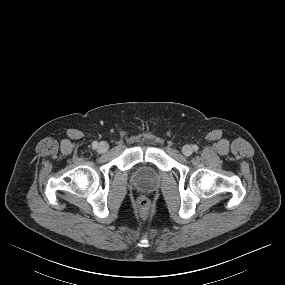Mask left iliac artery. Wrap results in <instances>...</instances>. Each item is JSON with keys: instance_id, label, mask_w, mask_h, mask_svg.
Segmentation results:
<instances>
[{"instance_id": "44dca946", "label": "left iliac artery", "mask_w": 285, "mask_h": 285, "mask_svg": "<svg viewBox=\"0 0 285 285\" xmlns=\"http://www.w3.org/2000/svg\"><path fill=\"white\" fill-rule=\"evenodd\" d=\"M192 148H193L194 151H197V150H198V146H197V145H193Z\"/></svg>"}]
</instances>
